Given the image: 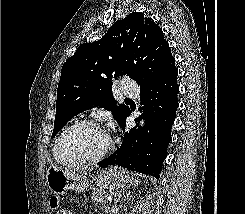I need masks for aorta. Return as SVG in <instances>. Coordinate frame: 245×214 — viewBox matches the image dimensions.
<instances>
[{
    "label": "aorta",
    "instance_id": "762f6f07",
    "mask_svg": "<svg viewBox=\"0 0 245 214\" xmlns=\"http://www.w3.org/2000/svg\"><path fill=\"white\" fill-rule=\"evenodd\" d=\"M144 125V120H141L140 121V126H143Z\"/></svg>",
    "mask_w": 245,
    "mask_h": 214
}]
</instances>
